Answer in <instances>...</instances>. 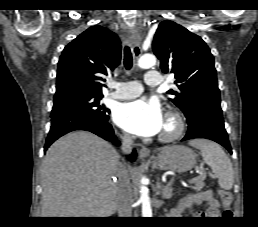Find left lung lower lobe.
Returning a JSON list of instances; mask_svg holds the SVG:
<instances>
[{"mask_svg": "<svg viewBox=\"0 0 258 227\" xmlns=\"http://www.w3.org/2000/svg\"><path fill=\"white\" fill-rule=\"evenodd\" d=\"M194 138L213 140L232 153L227 132L224 128L222 110L220 109H203L193 120L188 121V131L182 140Z\"/></svg>", "mask_w": 258, "mask_h": 227, "instance_id": "left-lung-lower-lobe-1", "label": "left lung lower lobe"}]
</instances>
